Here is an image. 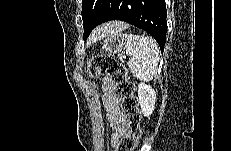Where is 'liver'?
<instances>
[{
	"instance_id": "6515ba94",
	"label": "liver",
	"mask_w": 231,
	"mask_h": 151,
	"mask_svg": "<svg viewBox=\"0 0 231 151\" xmlns=\"http://www.w3.org/2000/svg\"><path fill=\"white\" fill-rule=\"evenodd\" d=\"M125 28V24L122 22H108L99 26L93 31L89 38V42H95L106 37L110 33L121 32Z\"/></svg>"
}]
</instances>
